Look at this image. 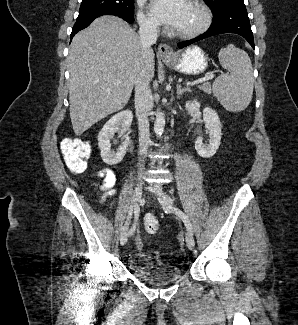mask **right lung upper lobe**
<instances>
[{
    "mask_svg": "<svg viewBox=\"0 0 298 325\" xmlns=\"http://www.w3.org/2000/svg\"><path fill=\"white\" fill-rule=\"evenodd\" d=\"M102 12H108V13H118V12H116V11H111V10H108V11H102ZM102 12H100V13H102ZM120 14V13H119Z\"/></svg>",
    "mask_w": 298,
    "mask_h": 325,
    "instance_id": "obj_1",
    "label": "right lung upper lobe"
}]
</instances>
